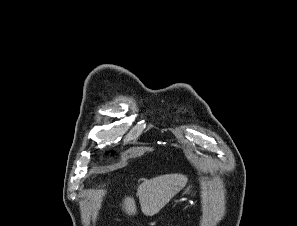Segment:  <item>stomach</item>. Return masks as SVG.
Segmentation results:
<instances>
[{
    "label": "stomach",
    "instance_id": "obj_1",
    "mask_svg": "<svg viewBox=\"0 0 297 226\" xmlns=\"http://www.w3.org/2000/svg\"><path fill=\"white\" fill-rule=\"evenodd\" d=\"M190 192H191V186L187 187V188L184 190L183 195H185V194H190Z\"/></svg>",
    "mask_w": 297,
    "mask_h": 226
}]
</instances>
